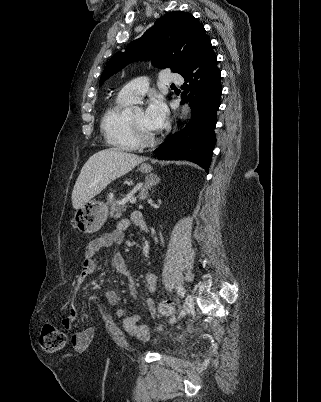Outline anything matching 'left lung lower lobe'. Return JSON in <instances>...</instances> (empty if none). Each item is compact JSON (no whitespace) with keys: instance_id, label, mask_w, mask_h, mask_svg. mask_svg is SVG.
I'll list each match as a JSON object with an SVG mask.
<instances>
[{"instance_id":"0a47b994","label":"left lung lower lobe","mask_w":321,"mask_h":402,"mask_svg":"<svg viewBox=\"0 0 321 402\" xmlns=\"http://www.w3.org/2000/svg\"><path fill=\"white\" fill-rule=\"evenodd\" d=\"M181 75L185 79L182 95L190 92L185 101L190 102L191 120L156 149L157 157L160 160H188L208 172L216 143V112L222 92L221 72L210 39Z\"/></svg>"}]
</instances>
